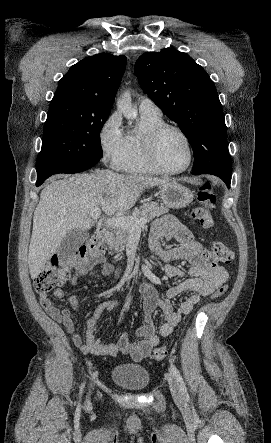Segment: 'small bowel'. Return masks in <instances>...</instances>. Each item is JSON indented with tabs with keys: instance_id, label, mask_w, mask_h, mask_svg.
I'll use <instances>...</instances> for the list:
<instances>
[{
	"instance_id": "obj_1",
	"label": "small bowel",
	"mask_w": 271,
	"mask_h": 443,
	"mask_svg": "<svg viewBox=\"0 0 271 443\" xmlns=\"http://www.w3.org/2000/svg\"><path fill=\"white\" fill-rule=\"evenodd\" d=\"M163 239H174L179 245L163 250L161 248ZM149 247L153 254L165 262L164 271L168 278H183L185 275L183 269L171 263L175 260H183L189 264V277L172 286L164 299L160 298L151 286H142L144 323L137 329V340L134 342L129 339L126 332H122L114 343L101 342L95 335L100 317L106 312L114 311L119 304L117 300L103 302L97 307L94 315L86 322L85 339H83L75 332L69 310L57 307L47 294H40L39 300L46 313L64 325L73 343L83 353L111 357L123 354L128 355L134 361L142 360L158 345L160 337H167L173 333L182 317L193 310L201 297L212 294L228 279L227 271L203 255V246L196 241L192 232L172 215H166L156 221L151 231ZM94 267V263H88L79 269L70 279V284L76 285L78 277L93 275ZM101 272L104 276L114 274L119 277L120 274L110 263H104ZM183 293L189 295L177 308H174L170 299ZM54 296L62 298L64 291L56 289ZM68 301L74 308L80 307V302L75 296L69 297ZM157 308L161 310L164 318L158 329L153 321V313Z\"/></svg>"
}]
</instances>
